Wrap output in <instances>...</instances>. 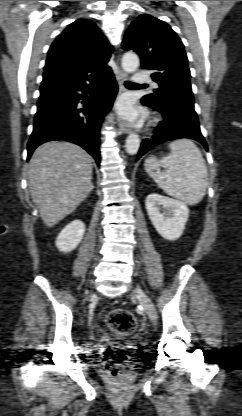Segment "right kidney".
I'll return each instance as SVG.
<instances>
[{"mask_svg":"<svg viewBox=\"0 0 242 416\" xmlns=\"http://www.w3.org/2000/svg\"><path fill=\"white\" fill-rule=\"evenodd\" d=\"M85 224L80 220H74L62 229L56 239V246L62 252L74 250L83 239Z\"/></svg>","mask_w":242,"mask_h":416,"instance_id":"right-kidney-1","label":"right kidney"}]
</instances>
